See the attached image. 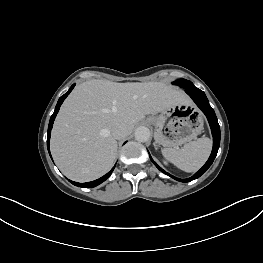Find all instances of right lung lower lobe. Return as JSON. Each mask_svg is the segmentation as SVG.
Instances as JSON below:
<instances>
[{
	"label": "right lung lower lobe",
	"mask_w": 263,
	"mask_h": 263,
	"mask_svg": "<svg viewBox=\"0 0 263 263\" xmlns=\"http://www.w3.org/2000/svg\"><path fill=\"white\" fill-rule=\"evenodd\" d=\"M75 84H73L70 89L63 95L59 98L58 100V103L55 107V111L54 113L52 114L51 118H50V122H49V126H48V136H47V147H48V151L50 153V150H49V140H50V134H51V129H52V126H53V122H54V119L56 117V114L58 113L59 109H60V106L61 104L63 103L64 99L69 95V93L72 91V89L74 88ZM51 156V155H50ZM115 167H113L107 174H105L103 177L97 179V180H94L92 182H87V183H83V184H80V183H77V182H72L75 186H82L83 188H92V187H95L99 184H101L102 182H104L113 172Z\"/></svg>",
	"instance_id": "98d812e1"
}]
</instances>
